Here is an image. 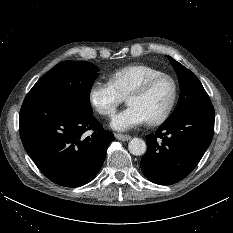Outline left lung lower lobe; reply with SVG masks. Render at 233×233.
I'll list each match as a JSON object with an SVG mask.
<instances>
[{
  "label": "left lung lower lobe",
  "instance_id": "left-lung-lower-lobe-1",
  "mask_svg": "<svg viewBox=\"0 0 233 233\" xmlns=\"http://www.w3.org/2000/svg\"><path fill=\"white\" fill-rule=\"evenodd\" d=\"M214 118L212 105L198 107L164 122L155 134L147 135V152L141 160L146 178L159 185L185 178L212 141Z\"/></svg>",
  "mask_w": 233,
  "mask_h": 233
}]
</instances>
